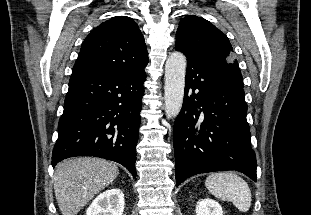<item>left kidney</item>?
Segmentation results:
<instances>
[{
  "mask_svg": "<svg viewBox=\"0 0 311 215\" xmlns=\"http://www.w3.org/2000/svg\"><path fill=\"white\" fill-rule=\"evenodd\" d=\"M196 213L197 215H223V210L218 202L206 198L197 203Z\"/></svg>",
  "mask_w": 311,
  "mask_h": 215,
  "instance_id": "obj_1",
  "label": "left kidney"
}]
</instances>
